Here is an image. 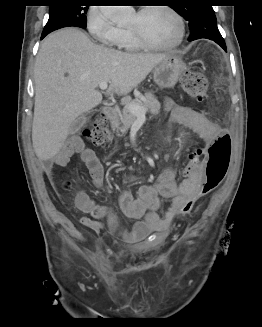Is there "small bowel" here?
<instances>
[{"label":"small bowel","instance_id":"small-bowel-1","mask_svg":"<svg viewBox=\"0 0 262 327\" xmlns=\"http://www.w3.org/2000/svg\"><path fill=\"white\" fill-rule=\"evenodd\" d=\"M164 108L171 112L175 122L198 134L208 147L217 142V135L222 128L210 121L202 112L177 104L169 98L165 100ZM74 154L80 155L89 170L93 184L101 188L104 181L103 165L95 152L88 148L78 136L71 137L53 161L45 166L46 176L52 181L54 179L53 166L66 165ZM206 159V153H185L183 165L187 167L181 172L184 177L182 181H177L175 172L168 169L160 175L155 185L141 187L137 196H133L129 191L121 192L118 198L120 210L126 217L136 220L130 228L121 226L113 210L97 205L85 192L78 193L75 197V206L79 211L89 215L82 217L81 223L99 232L102 229V223L91 217L103 219L110 233L129 242L139 241L152 232H164L172 219L182 214L181 207L185 205L188 197L196 193L200 183L204 182V166L201 160ZM161 198L171 200L164 217L158 213Z\"/></svg>","mask_w":262,"mask_h":327}]
</instances>
